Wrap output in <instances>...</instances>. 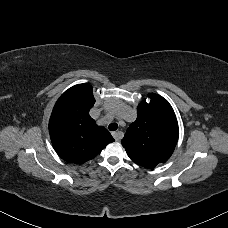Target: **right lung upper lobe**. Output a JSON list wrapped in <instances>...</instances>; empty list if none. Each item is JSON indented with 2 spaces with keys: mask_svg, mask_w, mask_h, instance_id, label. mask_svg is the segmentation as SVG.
Masks as SVG:
<instances>
[{
  "mask_svg": "<svg viewBox=\"0 0 228 228\" xmlns=\"http://www.w3.org/2000/svg\"><path fill=\"white\" fill-rule=\"evenodd\" d=\"M95 103L93 89L78 84L64 92L52 111L49 132L54 149L69 163L82 164L114 141L103 126H97L89 110Z\"/></svg>",
  "mask_w": 228,
  "mask_h": 228,
  "instance_id": "right-lung-upper-lobe-1",
  "label": "right lung upper lobe"
}]
</instances>
